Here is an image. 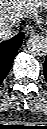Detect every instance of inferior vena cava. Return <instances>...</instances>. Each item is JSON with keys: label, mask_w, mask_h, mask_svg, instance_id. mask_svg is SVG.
I'll list each match as a JSON object with an SVG mask.
<instances>
[{"label": "inferior vena cava", "mask_w": 47, "mask_h": 129, "mask_svg": "<svg viewBox=\"0 0 47 129\" xmlns=\"http://www.w3.org/2000/svg\"><path fill=\"white\" fill-rule=\"evenodd\" d=\"M14 26H1L0 28V40L4 41L10 39L15 35V31L13 29Z\"/></svg>", "instance_id": "inferior-vena-cava-1"}]
</instances>
